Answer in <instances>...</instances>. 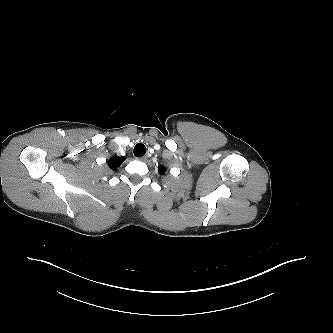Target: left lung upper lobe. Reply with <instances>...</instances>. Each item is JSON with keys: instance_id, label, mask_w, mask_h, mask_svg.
Instances as JSON below:
<instances>
[{"instance_id": "1", "label": "left lung upper lobe", "mask_w": 333, "mask_h": 333, "mask_svg": "<svg viewBox=\"0 0 333 333\" xmlns=\"http://www.w3.org/2000/svg\"><path fill=\"white\" fill-rule=\"evenodd\" d=\"M158 171H159V174H160V175H164V174H165V168L162 167V166H159V167H158Z\"/></svg>"}]
</instances>
